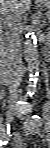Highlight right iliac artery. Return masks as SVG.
I'll return each mask as SVG.
<instances>
[{
    "label": "right iliac artery",
    "instance_id": "right-iliac-artery-1",
    "mask_svg": "<svg viewBox=\"0 0 50 148\" xmlns=\"http://www.w3.org/2000/svg\"><path fill=\"white\" fill-rule=\"evenodd\" d=\"M1 131L4 133V137L0 140V146H3L7 143L8 134H10V125L7 124V127L2 126Z\"/></svg>",
    "mask_w": 50,
    "mask_h": 148
}]
</instances>
